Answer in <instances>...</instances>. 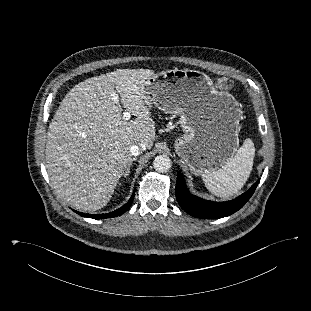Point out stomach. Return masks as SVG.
<instances>
[{"label": "stomach", "instance_id": "0dacf381", "mask_svg": "<svg viewBox=\"0 0 311 311\" xmlns=\"http://www.w3.org/2000/svg\"><path fill=\"white\" fill-rule=\"evenodd\" d=\"M144 94L150 107L180 115L185 134L174 147L194 175L217 170L237 153L241 110L236 99L217 91L206 74L163 71L147 80Z\"/></svg>", "mask_w": 311, "mask_h": 311}]
</instances>
